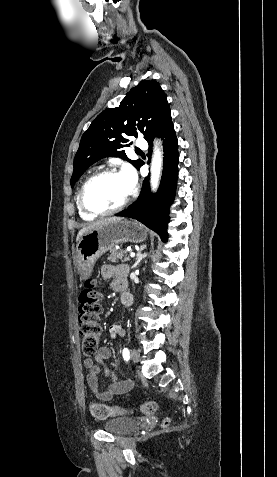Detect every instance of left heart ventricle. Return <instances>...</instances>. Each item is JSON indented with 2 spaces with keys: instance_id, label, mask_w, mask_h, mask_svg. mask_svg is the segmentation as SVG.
Wrapping results in <instances>:
<instances>
[{
  "instance_id": "obj_1",
  "label": "left heart ventricle",
  "mask_w": 277,
  "mask_h": 477,
  "mask_svg": "<svg viewBox=\"0 0 277 477\" xmlns=\"http://www.w3.org/2000/svg\"><path fill=\"white\" fill-rule=\"evenodd\" d=\"M129 192L121 174H108L95 179L87 188L85 201L93 209L118 206Z\"/></svg>"
}]
</instances>
